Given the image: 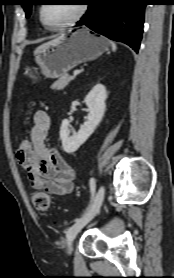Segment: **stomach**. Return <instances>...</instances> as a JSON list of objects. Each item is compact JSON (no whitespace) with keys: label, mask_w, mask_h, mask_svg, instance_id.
<instances>
[{"label":"stomach","mask_w":174,"mask_h":278,"mask_svg":"<svg viewBox=\"0 0 174 278\" xmlns=\"http://www.w3.org/2000/svg\"><path fill=\"white\" fill-rule=\"evenodd\" d=\"M108 46L105 37L82 27L39 47L34 53L37 68L33 71L48 79L59 78L77 65L96 59L108 50ZM25 74L37 79L32 69H27Z\"/></svg>","instance_id":"0dacf381"}]
</instances>
